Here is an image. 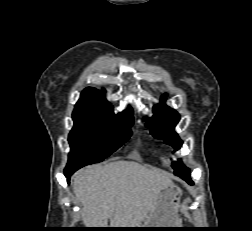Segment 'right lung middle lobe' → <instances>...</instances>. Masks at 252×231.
<instances>
[{
  "mask_svg": "<svg viewBox=\"0 0 252 231\" xmlns=\"http://www.w3.org/2000/svg\"><path fill=\"white\" fill-rule=\"evenodd\" d=\"M69 134L68 163L65 169L81 168L102 161L130 137L133 119L109 114L73 112Z\"/></svg>",
  "mask_w": 252,
  "mask_h": 231,
  "instance_id": "1",
  "label": "right lung middle lobe"
}]
</instances>
